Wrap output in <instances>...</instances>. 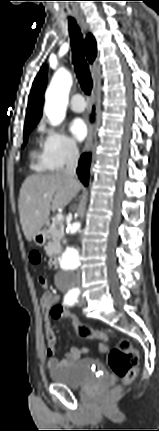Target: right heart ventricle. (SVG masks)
Returning <instances> with one entry per match:
<instances>
[{
	"mask_svg": "<svg viewBox=\"0 0 159 431\" xmlns=\"http://www.w3.org/2000/svg\"><path fill=\"white\" fill-rule=\"evenodd\" d=\"M31 167L39 172L47 169L42 161L41 155L35 150L31 152Z\"/></svg>",
	"mask_w": 159,
	"mask_h": 431,
	"instance_id": "obj_1",
	"label": "right heart ventricle"
}]
</instances>
